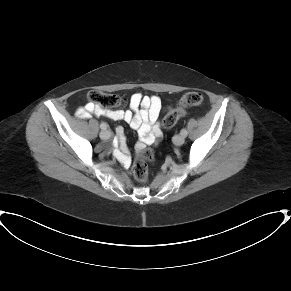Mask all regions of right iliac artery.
Instances as JSON below:
<instances>
[{
	"label": "right iliac artery",
	"mask_w": 291,
	"mask_h": 291,
	"mask_svg": "<svg viewBox=\"0 0 291 291\" xmlns=\"http://www.w3.org/2000/svg\"><path fill=\"white\" fill-rule=\"evenodd\" d=\"M101 129L106 130L107 129V125L106 123L102 122L100 125Z\"/></svg>",
	"instance_id": "82829eb1"
}]
</instances>
